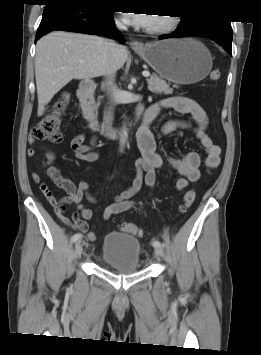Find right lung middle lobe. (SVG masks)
I'll return each mask as SVG.
<instances>
[{"mask_svg": "<svg viewBox=\"0 0 261 355\" xmlns=\"http://www.w3.org/2000/svg\"><path fill=\"white\" fill-rule=\"evenodd\" d=\"M83 1L92 5L101 6L100 1L102 0H83Z\"/></svg>", "mask_w": 261, "mask_h": 355, "instance_id": "dd1d6c3e", "label": "right lung middle lobe"}]
</instances>
